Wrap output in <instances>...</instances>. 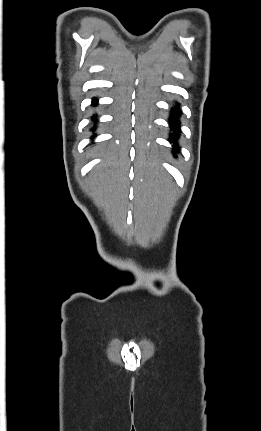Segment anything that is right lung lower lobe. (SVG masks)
<instances>
[{
    "instance_id": "obj_1",
    "label": "right lung lower lobe",
    "mask_w": 261,
    "mask_h": 431,
    "mask_svg": "<svg viewBox=\"0 0 261 431\" xmlns=\"http://www.w3.org/2000/svg\"><path fill=\"white\" fill-rule=\"evenodd\" d=\"M96 104H97V100H96V99H94V100H93V105H96ZM92 119H96V117H95V116H93V117H92ZM92 137H94V136H92Z\"/></svg>"
}]
</instances>
